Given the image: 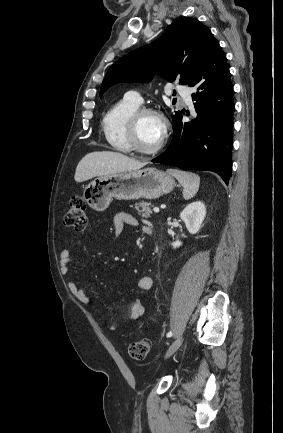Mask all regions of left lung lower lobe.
Wrapping results in <instances>:
<instances>
[{
    "mask_svg": "<svg viewBox=\"0 0 283 433\" xmlns=\"http://www.w3.org/2000/svg\"><path fill=\"white\" fill-rule=\"evenodd\" d=\"M187 85L195 89L192 100L196 101L197 117L191 122H183L181 113L174 117L172 141L152 162L213 171L228 184L235 105L226 56L218 42L198 64Z\"/></svg>",
    "mask_w": 283,
    "mask_h": 433,
    "instance_id": "obj_1",
    "label": "left lung lower lobe"
}]
</instances>
